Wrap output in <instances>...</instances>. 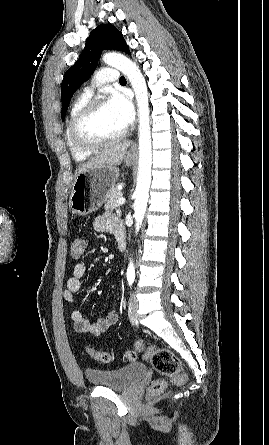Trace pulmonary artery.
Listing matches in <instances>:
<instances>
[{"instance_id":"e3ab8cb5","label":"pulmonary artery","mask_w":269,"mask_h":445,"mask_svg":"<svg viewBox=\"0 0 269 445\" xmlns=\"http://www.w3.org/2000/svg\"><path fill=\"white\" fill-rule=\"evenodd\" d=\"M119 80V72L118 70L110 67L101 68L95 75L94 82L95 84H104L109 82H116ZM87 94L92 93V88H88L85 91Z\"/></svg>"}]
</instances>
